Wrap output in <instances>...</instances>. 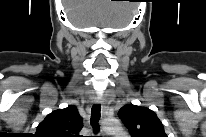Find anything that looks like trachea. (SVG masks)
I'll use <instances>...</instances> for the list:
<instances>
[{"label": "trachea", "mask_w": 206, "mask_h": 137, "mask_svg": "<svg viewBox=\"0 0 206 137\" xmlns=\"http://www.w3.org/2000/svg\"><path fill=\"white\" fill-rule=\"evenodd\" d=\"M100 111H101V106L100 105H94L91 109V119L90 123L92 125L94 133H98L100 130L99 127V119H100ZM96 137H102V136H96Z\"/></svg>", "instance_id": "obj_1"}]
</instances>
